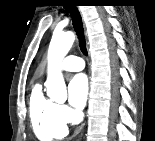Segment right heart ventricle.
Here are the masks:
<instances>
[{
	"label": "right heart ventricle",
	"instance_id": "e07e8e85",
	"mask_svg": "<svg viewBox=\"0 0 155 141\" xmlns=\"http://www.w3.org/2000/svg\"><path fill=\"white\" fill-rule=\"evenodd\" d=\"M29 114L33 131L39 140L50 141L67 134V124L60 118L59 105L44 95L39 84L31 90Z\"/></svg>",
	"mask_w": 155,
	"mask_h": 141
}]
</instances>
